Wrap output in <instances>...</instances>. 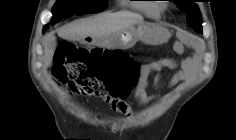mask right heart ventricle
I'll use <instances>...</instances> for the list:
<instances>
[{
	"instance_id": "e07e8e85",
	"label": "right heart ventricle",
	"mask_w": 236,
	"mask_h": 140,
	"mask_svg": "<svg viewBox=\"0 0 236 140\" xmlns=\"http://www.w3.org/2000/svg\"><path fill=\"white\" fill-rule=\"evenodd\" d=\"M149 1L152 0H125L123 1V7L133 9L143 15L155 17L159 15L158 6Z\"/></svg>"
}]
</instances>
